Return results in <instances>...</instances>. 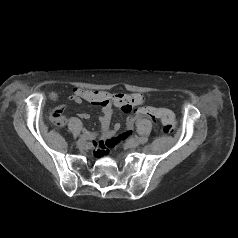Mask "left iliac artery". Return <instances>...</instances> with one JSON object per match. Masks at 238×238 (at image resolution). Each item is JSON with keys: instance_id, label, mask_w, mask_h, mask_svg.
Returning <instances> with one entry per match:
<instances>
[{"instance_id": "44dca946", "label": "left iliac artery", "mask_w": 238, "mask_h": 238, "mask_svg": "<svg viewBox=\"0 0 238 238\" xmlns=\"http://www.w3.org/2000/svg\"><path fill=\"white\" fill-rule=\"evenodd\" d=\"M135 138L138 139V141H140V142H144V138H142V137L135 136Z\"/></svg>"}]
</instances>
